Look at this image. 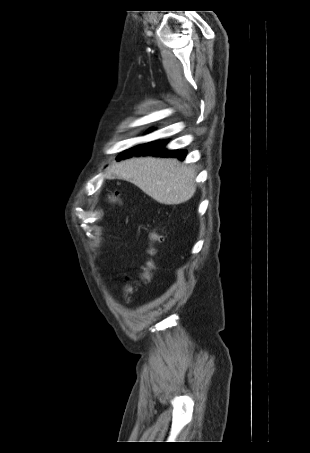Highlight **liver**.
Segmentation results:
<instances>
[{
    "mask_svg": "<svg viewBox=\"0 0 310 453\" xmlns=\"http://www.w3.org/2000/svg\"><path fill=\"white\" fill-rule=\"evenodd\" d=\"M130 181L161 204L176 205L191 199L196 191L195 171L177 159L138 157L114 165L108 172Z\"/></svg>",
    "mask_w": 310,
    "mask_h": 453,
    "instance_id": "liver-1",
    "label": "liver"
}]
</instances>
